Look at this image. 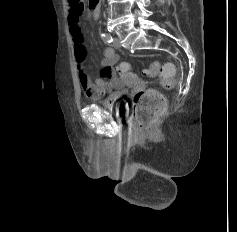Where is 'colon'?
I'll return each mask as SVG.
<instances>
[{
	"label": "colon",
	"mask_w": 237,
	"mask_h": 232,
	"mask_svg": "<svg viewBox=\"0 0 237 232\" xmlns=\"http://www.w3.org/2000/svg\"><path fill=\"white\" fill-rule=\"evenodd\" d=\"M71 11L82 15L85 11L84 0H68ZM129 70L127 63L119 66L120 72ZM148 76L160 75L161 83L165 88L173 87L175 83V68L172 64L161 65L153 62L145 71ZM135 108L132 117L135 125L142 131H149L164 111L165 101L156 90L148 89L138 92L134 98Z\"/></svg>",
	"instance_id": "1"
}]
</instances>
